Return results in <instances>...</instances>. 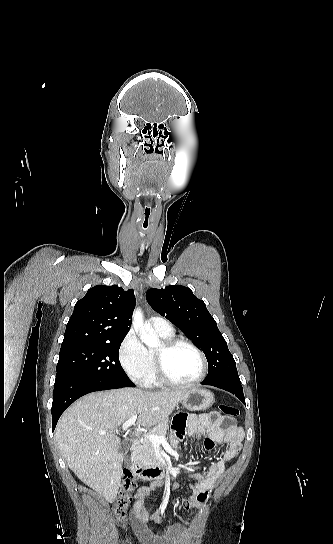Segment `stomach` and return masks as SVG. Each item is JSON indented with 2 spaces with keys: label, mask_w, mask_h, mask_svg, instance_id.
I'll return each instance as SVG.
<instances>
[{
  "label": "stomach",
  "mask_w": 333,
  "mask_h": 544,
  "mask_svg": "<svg viewBox=\"0 0 333 544\" xmlns=\"http://www.w3.org/2000/svg\"><path fill=\"white\" fill-rule=\"evenodd\" d=\"M214 402L212 392L195 388L186 392L182 397L183 407L189 411H202L211 407Z\"/></svg>",
  "instance_id": "obj_1"
}]
</instances>
